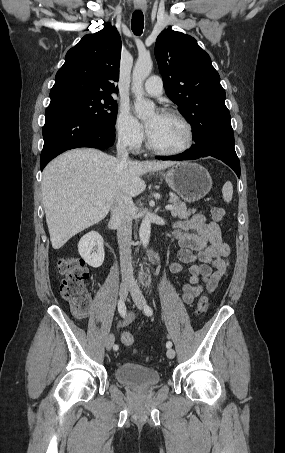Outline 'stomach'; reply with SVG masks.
<instances>
[{"instance_id": "obj_1", "label": "stomach", "mask_w": 285, "mask_h": 453, "mask_svg": "<svg viewBox=\"0 0 285 453\" xmlns=\"http://www.w3.org/2000/svg\"><path fill=\"white\" fill-rule=\"evenodd\" d=\"M168 186L185 202L204 198L212 188L209 172L194 162H180L161 173Z\"/></svg>"}]
</instances>
